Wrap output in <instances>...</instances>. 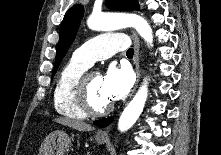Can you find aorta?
<instances>
[{"instance_id":"1","label":"aorta","mask_w":221,"mask_h":155,"mask_svg":"<svg viewBox=\"0 0 221 155\" xmlns=\"http://www.w3.org/2000/svg\"><path fill=\"white\" fill-rule=\"evenodd\" d=\"M87 25L95 31H114L124 27H133L140 36L152 46L153 34L148 22L137 14H99L91 15ZM147 81L144 80L139 90L123 110L119 121L118 129L123 132L131 128L143 111L148 95Z\"/></svg>"}]
</instances>
